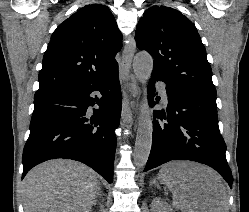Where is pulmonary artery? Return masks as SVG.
<instances>
[{"mask_svg": "<svg viewBox=\"0 0 249 212\" xmlns=\"http://www.w3.org/2000/svg\"><path fill=\"white\" fill-rule=\"evenodd\" d=\"M158 91L161 95V98H162V101L166 104L167 103V100H168V97H167V92H166V87L164 84H160L158 86Z\"/></svg>", "mask_w": 249, "mask_h": 212, "instance_id": "1", "label": "pulmonary artery"}]
</instances>
